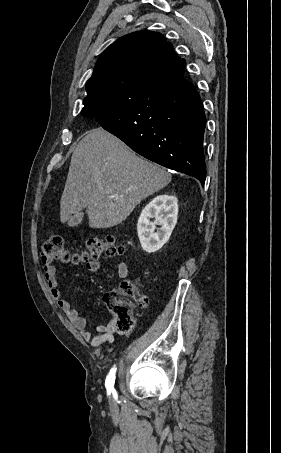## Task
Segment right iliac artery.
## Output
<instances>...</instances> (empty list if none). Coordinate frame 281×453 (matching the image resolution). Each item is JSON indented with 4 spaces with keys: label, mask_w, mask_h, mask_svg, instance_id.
<instances>
[{
    "label": "right iliac artery",
    "mask_w": 281,
    "mask_h": 453,
    "mask_svg": "<svg viewBox=\"0 0 281 453\" xmlns=\"http://www.w3.org/2000/svg\"><path fill=\"white\" fill-rule=\"evenodd\" d=\"M117 368H112L106 378L105 381V387L107 391H113L114 390V382H115V373H116Z\"/></svg>",
    "instance_id": "obj_1"
}]
</instances>
